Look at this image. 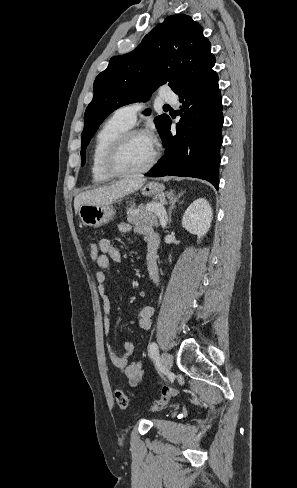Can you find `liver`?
I'll use <instances>...</instances> for the list:
<instances>
[{
    "label": "liver",
    "mask_w": 297,
    "mask_h": 488,
    "mask_svg": "<svg viewBox=\"0 0 297 488\" xmlns=\"http://www.w3.org/2000/svg\"><path fill=\"white\" fill-rule=\"evenodd\" d=\"M145 182L146 179L143 177L132 176L108 186L82 192L75 197V210L77 211L83 204L111 205L118 199L140 189Z\"/></svg>",
    "instance_id": "1"
}]
</instances>
